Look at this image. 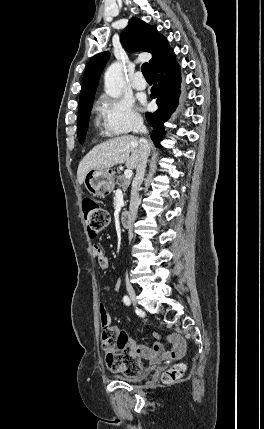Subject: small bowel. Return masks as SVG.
Instances as JSON below:
<instances>
[{"mask_svg":"<svg viewBox=\"0 0 264 429\" xmlns=\"http://www.w3.org/2000/svg\"><path fill=\"white\" fill-rule=\"evenodd\" d=\"M93 254L97 258L98 264L102 269L109 266V259L106 253L99 245L93 246ZM119 284L115 290H118ZM132 353L139 359H144L150 363H155L163 359H178L181 358L186 351V342L179 334H171L168 337V342L171 344V349L166 351L163 344L157 340L152 346L136 345L129 339Z\"/></svg>","mask_w":264,"mask_h":429,"instance_id":"obj_1","label":"small bowel"}]
</instances>
